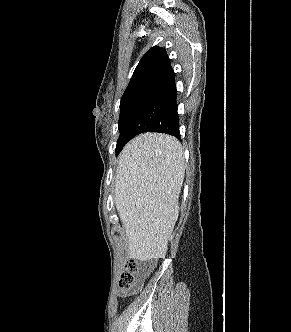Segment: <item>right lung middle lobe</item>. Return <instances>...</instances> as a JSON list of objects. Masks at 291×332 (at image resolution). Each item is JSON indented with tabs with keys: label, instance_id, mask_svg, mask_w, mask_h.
Here are the masks:
<instances>
[{
	"label": "right lung middle lobe",
	"instance_id": "1",
	"mask_svg": "<svg viewBox=\"0 0 291 332\" xmlns=\"http://www.w3.org/2000/svg\"><path fill=\"white\" fill-rule=\"evenodd\" d=\"M145 96L146 95H137V96H133V97H129V98L121 100L120 117H119V121H118L120 136H119V139H118L117 145H116V154L119 153L122 146L124 145V142H125L124 131L133 115V111L138 106V104L140 103L142 98Z\"/></svg>",
	"mask_w": 291,
	"mask_h": 332
}]
</instances>
